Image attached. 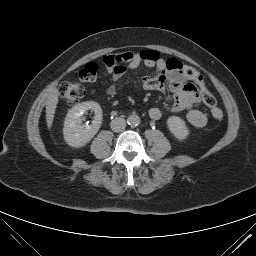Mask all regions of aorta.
Listing matches in <instances>:
<instances>
[{
	"instance_id": "762f6f07",
	"label": "aorta",
	"mask_w": 256,
	"mask_h": 256,
	"mask_svg": "<svg viewBox=\"0 0 256 256\" xmlns=\"http://www.w3.org/2000/svg\"><path fill=\"white\" fill-rule=\"evenodd\" d=\"M127 123L134 127V126H137L138 124H140V118L137 116V115H130L128 118H127Z\"/></svg>"
}]
</instances>
